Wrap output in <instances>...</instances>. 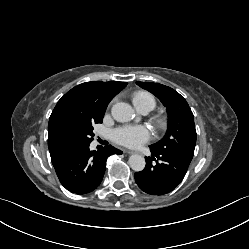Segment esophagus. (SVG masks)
<instances>
[{
  "label": "esophagus",
  "mask_w": 249,
  "mask_h": 249,
  "mask_svg": "<svg viewBox=\"0 0 249 249\" xmlns=\"http://www.w3.org/2000/svg\"><path fill=\"white\" fill-rule=\"evenodd\" d=\"M124 152H125V153H128V154H135V153H136V152L130 151V150H125Z\"/></svg>",
  "instance_id": "1"
}]
</instances>
